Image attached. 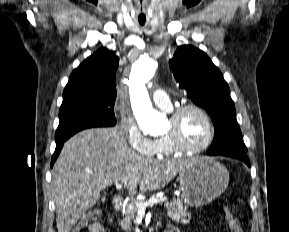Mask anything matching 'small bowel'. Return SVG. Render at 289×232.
<instances>
[{
    "label": "small bowel",
    "instance_id": "1",
    "mask_svg": "<svg viewBox=\"0 0 289 232\" xmlns=\"http://www.w3.org/2000/svg\"><path fill=\"white\" fill-rule=\"evenodd\" d=\"M89 232H108L106 227L100 222H93L88 227ZM164 232H174L172 229H165Z\"/></svg>",
    "mask_w": 289,
    "mask_h": 232
}]
</instances>
